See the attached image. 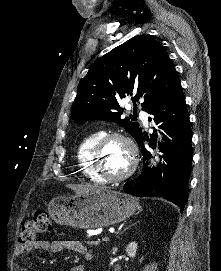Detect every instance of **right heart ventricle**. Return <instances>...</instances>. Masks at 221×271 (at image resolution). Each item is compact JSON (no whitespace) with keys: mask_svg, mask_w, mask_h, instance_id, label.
Masks as SVG:
<instances>
[{"mask_svg":"<svg viewBox=\"0 0 221 271\" xmlns=\"http://www.w3.org/2000/svg\"><path fill=\"white\" fill-rule=\"evenodd\" d=\"M103 134L104 133L99 130L87 134L80 141L77 148V160L80 169H84V171H81V176H83L84 179H94L97 183L108 182L107 178H102V174H98V171H96L95 162H93L95 155H91V150H96V144L101 143Z\"/></svg>","mask_w":221,"mask_h":271,"instance_id":"right-heart-ventricle-1","label":"right heart ventricle"}]
</instances>
